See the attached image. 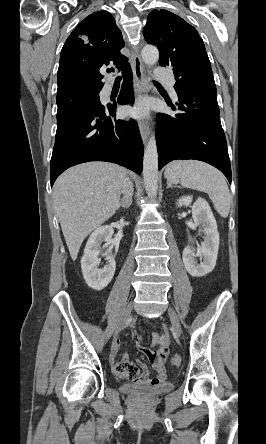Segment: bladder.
I'll use <instances>...</instances> for the list:
<instances>
[{
  "label": "bladder",
  "mask_w": 266,
  "mask_h": 444,
  "mask_svg": "<svg viewBox=\"0 0 266 444\" xmlns=\"http://www.w3.org/2000/svg\"><path fill=\"white\" fill-rule=\"evenodd\" d=\"M173 389V384L163 383L156 386H141L129 383L124 386V392L140 398H153L157 395L165 394Z\"/></svg>",
  "instance_id": "bladder-1"
}]
</instances>
